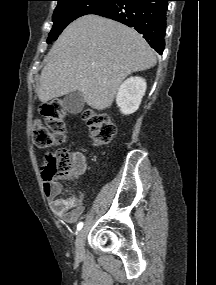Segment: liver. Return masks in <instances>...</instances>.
<instances>
[{"mask_svg": "<svg viewBox=\"0 0 216 285\" xmlns=\"http://www.w3.org/2000/svg\"><path fill=\"white\" fill-rule=\"evenodd\" d=\"M156 62L155 53L137 31L86 15L68 25L51 48L41 71L38 97L47 103L79 91L87 105L103 110L112 105L128 75L150 69Z\"/></svg>", "mask_w": 216, "mask_h": 285, "instance_id": "1", "label": "liver"}]
</instances>
